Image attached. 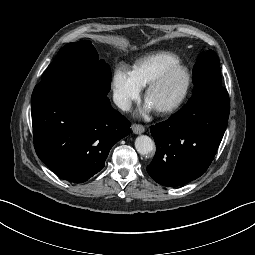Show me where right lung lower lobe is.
I'll return each mask as SVG.
<instances>
[{
	"mask_svg": "<svg viewBox=\"0 0 255 255\" xmlns=\"http://www.w3.org/2000/svg\"><path fill=\"white\" fill-rule=\"evenodd\" d=\"M31 108L38 157L69 182L82 183L98 173L112 146L130 133V122L107 95L81 83L41 81Z\"/></svg>",
	"mask_w": 255,
	"mask_h": 255,
	"instance_id": "1",
	"label": "right lung lower lobe"
}]
</instances>
